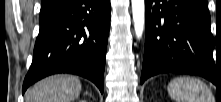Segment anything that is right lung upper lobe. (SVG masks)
<instances>
[{"label":"right lung upper lobe","mask_w":221,"mask_h":102,"mask_svg":"<svg viewBox=\"0 0 221 102\" xmlns=\"http://www.w3.org/2000/svg\"><path fill=\"white\" fill-rule=\"evenodd\" d=\"M64 1L65 0H43L40 12H49L55 9L58 5H60Z\"/></svg>","instance_id":"obj_1"}]
</instances>
